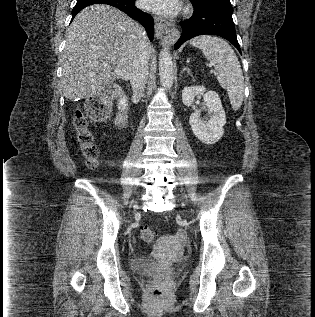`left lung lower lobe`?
I'll return each mask as SVG.
<instances>
[{
    "mask_svg": "<svg viewBox=\"0 0 315 317\" xmlns=\"http://www.w3.org/2000/svg\"><path fill=\"white\" fill-rule=\"evenodd\" d=\"M194 6V14L189 20L181 21L182 35L174 45L178 49L183 42L203 34L218 35L231 42L241 53L237 41L233 10L215 9L213 7Z\"/></svg>",
    "mask_w": 315,
    "mask_h": 317,
    "instance_id": "1",
    "label": "left lung lower lobe"
}]
</instances>
